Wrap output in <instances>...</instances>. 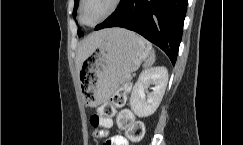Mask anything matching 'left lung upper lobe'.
Returning <instances> with one entry per match:
<instances>
[{
  "mask_svg": "<svg viewBox=\"0 0 243 145\" xmlns=\"http://www.w3.org/2000/svg\"><path fill=\"white\" fill-rule=\"evenodd\" d=\"M123 0H121V2H122ZM120 2V3H121ZM78 0H75V5H74V13H76V10H77V8H78ZM78 35H79V37H81L82 35H83V32H81V31H78Z\"/></svg>",
  "mask_w": 243,
  "mask_h": 145,
  "instance_id": "obj_1",
  "label": "left lung upper lobe"
}]
</instances>
